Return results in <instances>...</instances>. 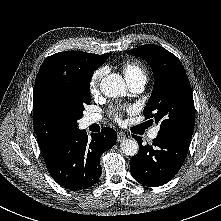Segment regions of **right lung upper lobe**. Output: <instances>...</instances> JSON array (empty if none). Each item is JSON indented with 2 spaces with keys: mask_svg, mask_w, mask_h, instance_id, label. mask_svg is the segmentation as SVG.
I'll return each mask as SVG.
<instances>
[{
  "mask_svg": "<svg viewBox=\"0 0 221 221\" xmlns=\"http://www.w3.org/2000/svg\"><path fill=\"white\" fill-rule=\"evenodd\" d=\"M109 55L65 51L44 60L35 81L33 95V123L44 159L78 130L77 123L53 105L48 95L49 84L54 79L75 70L94 71L108 59Z\"/></svg>",
  "mask_w": 221,
  "mask_h": 221,
  "instance_id": "cb5924a9",
  "label": "right lung upper lobe"
}]
</instances>
